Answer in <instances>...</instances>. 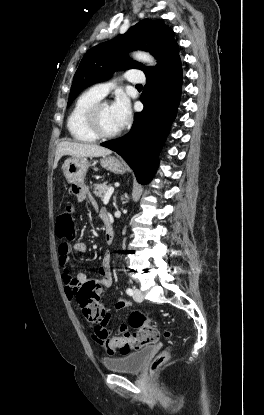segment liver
Returning a JSON list of instances; mask_svg holds the SVG:
<instances>
[{"mask_svg": "<svg viewBox=\"0 0 264 415\" xmlns=\"http://www.w3.org/2000/svg\"><path fill=\"white\" fill-rule=\"evenodd\" d=\"M111 152L110 149L95 144L62 141L56 149L54 169L57 167L60 158L64 155H70L72 157H98L110 155Z\"/></svg>", "mask_w": 264, "mask_h": 415, "instance_id": "6515ba94", "label": "liver"}]
</instances>
